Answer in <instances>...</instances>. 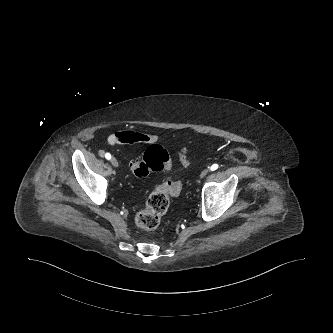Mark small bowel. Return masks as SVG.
I'll return each instance as SVG.
<instances>
[{
  "label": "small bowel",
  "mask_w": 333,
  "mask_h": 333,
  "mask_svg": "<svg viewBox=\"0 0 333 333\" xmlns=\"http://www.w3.org/2000/svg\"><path fill=\"white\" fill-rule=\"evenodd\" d=\"M160 141V136L135 131H120L110 137V142L114 144H156Z\"/></svg>",
  "instance_id": "c3829d8e"
}]
</instances>
